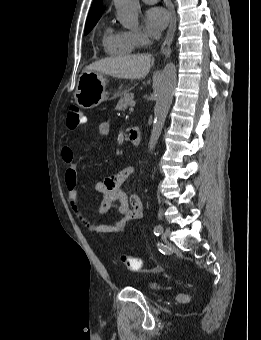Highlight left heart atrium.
<instances>
[{
  "label": "left heart atrium",
  "mask_w": 261,
  "mask_h": 340,
  "mask_svg": "<svg viewBox=\"0 0 261 340\" xmlns=\"http://www.w3.org/2000/svg\"><path fill=\"white\" fill-rule=\"evenodd\" d=\"M169 21V13L161 7L150 8L145 16L147 29L152 36H158L159 33L168 25Z\"/></svg>",
  "instance_id": "obj_1"
}]
</instances>
